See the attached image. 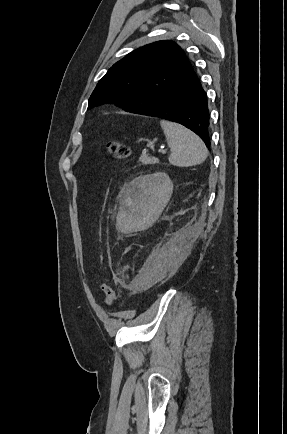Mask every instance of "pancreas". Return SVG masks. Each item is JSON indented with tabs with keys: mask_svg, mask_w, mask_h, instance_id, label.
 Listing matches in <instances>:
<instances>
[{
	"mask_svg": "<svg viewBox=\"0 0 287 434\" xmlns=\"http://www.w3.org/2000/svg\"><path fill=\"white\" fill-rule=\"evenodd\" d=\"M139 162L143 165H147V164H156L159 161L155 157H150L148 155H141V157L139 158Z\"/></svg>",
	"mask_w": 287,
	"mask_h": 434,
	"instance_id": "obj_1",
	"label": "pancreas"
}]
</instances>
